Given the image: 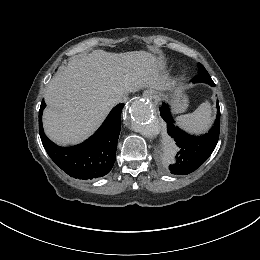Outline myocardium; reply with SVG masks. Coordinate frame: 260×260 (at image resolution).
I'll return each mask as SVG.
<instances>
[{"label":"myocardium","mask_w":260,"mask_h":260,"mask_svg":"<svg viewBox=\"0 0 260 260\" xmlns=\"http://www.w3.org/2000/svg\"><path fill=\"white\" fill-rule=\"evenodd\" d=\"M184 79H185V76H184V75H182V76L179 77V81H183Z\"/></svg>","instance_id":"f54148a6"}]
</instances>
